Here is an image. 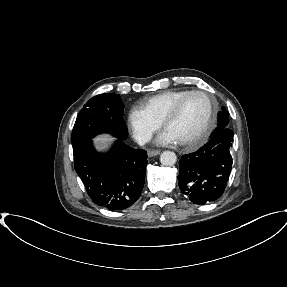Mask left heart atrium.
Listing matches in <instances>:
<instances>
[{
    "label": "left heart atrium",
    "instance_id": "1",
    "mask_svg": "<svg viewBox=\"0 0 287 287\" xmlns=\"http://www.w3.org/2000/svg\"><path fill=\"white\" fill-rule=\"evenodd\" d=\"M158 142L160 144H174L176 143V139L166 130L159 136Z\"/></svg>",
    "mask_w": 287,
    "mask_h": 287
}]
</instances>
